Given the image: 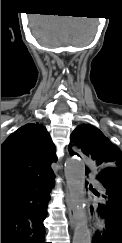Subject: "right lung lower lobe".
I'll return each mask as SVG.
<instances>
[{
	"label": "right lung lower lobe",
	"mask_w": 122,
	"mask_h": 243,
	"mask_svg": "<svg viewBox=\"0 0 122 243\" xmlns=\"http://www.w3.org/2000/svg\"><path fill=\"white\" fill-rule=\"evenodd\" d=\"M54 173L1 194V243H46L44 220Z\"/></svg>",
	"instance_id": "1"
}]
</instances>
